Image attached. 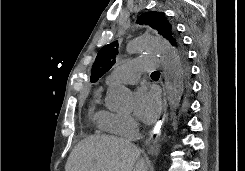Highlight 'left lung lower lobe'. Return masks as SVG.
Instances as JSON below:
<instances>
[{
    "mask_svg": "<svg viewBox=\"0 0 245 171\" xmlns=\"http://www.w3.org/2000/svg\"><path fill=\"white\" fill-rule=\"evenodd\" d=\"M176 67H180L181 69V77L186 80L189 75V67H191V62L189 61H178L176 62Z\"/></svg>",
    "mask_w": 245,
    "mask_h": 171,
    "instance_id": "obj_1",
    "label": "left lung lower lobe"
}]
</instances>
